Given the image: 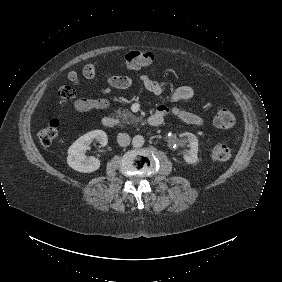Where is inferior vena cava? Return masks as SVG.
<instances>
[{"mask_svg":"<svg viewBox=\"0 0 282 282\" xmlns=\"http://www.w3.org/2000/svg\"><path fill=\"white\" fill-rule=\"evenodd\" d=\"M117 143L122 147L128 146L130 143V136L127 133H119L117 136Z\"/></svg>","mask_w":282,"mask_h":282,"instance_id":"602c4592","label":"inferior vena cava"}]
</instances>
